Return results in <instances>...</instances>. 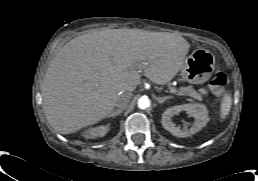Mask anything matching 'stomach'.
<instances>
[{"instance_id":"0dacf381","label":"stomach","mask_w":258,"mask_h":181,"mask_svg":"<svg viewBox=\"0 0 258 181\" xmlns=\"http://www.w3.org/2000/svg\"><path fill=\"white\" fill-rule=\"evenodd\" d=\"M215 70V56L206 49L194 50L181 68V77L190 84H202L209 80Z\"/></svg>"}]
</instances>
